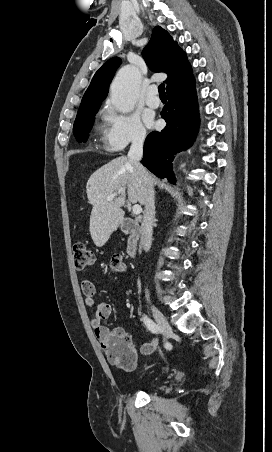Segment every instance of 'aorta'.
I'll return each mask as SVG.
<instances>
[{"mask_svg":"<svg viewBox=\"0 0 272 452\" xmlns=\"http://www.w3.org/2000/svg\"><path fill=\"white\" fill-rule=\"evenodd\" d=\"M140 73L133 66H126L119 70L111 84V103L121 113L131 112L136 104Z\"/></svg>","mask_w":272,"mask_h":452,"instance_id":"aorta-1","label":"aorta"}]
</instances>
